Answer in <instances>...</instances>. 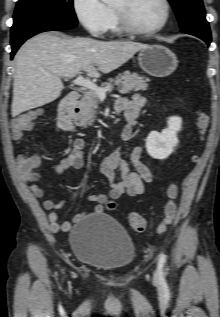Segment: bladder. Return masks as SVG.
Returning <instances> with one entry per match:
<instances>
[{"mask_svg": "<svg viewBox=\"0 0 220 317\" xmlns=\"http://www.w3.org/2000/svg\"><path fill=\"white\" fill-rule=\"evenodd\" d=\"M69 243L80 263L107 271L129 267L136 256L128 232L106 214L83 217L73 226Z\"/></svg>", "mask_w": 220, "mask_h": 317, "instance_id": "obj_1", "label": "bladder"}]
</instances>
